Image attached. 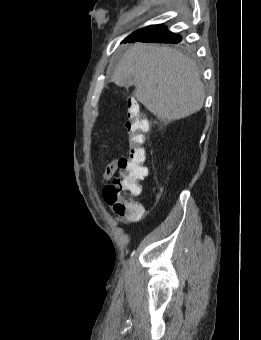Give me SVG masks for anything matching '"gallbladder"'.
<instances>
[{"label":"gallbladder","mask_w":261,"mask_h":340,"mask_svg":"<svg viewBox=\"0 0 261 340\" xmlns=\"http://www.w3.org/2000/svg\"><path fill=\"white\" fill-rule=\"evenodd\" d=\"M132 84H126V87H129V86H131Z\"/></svg>","instance_id":"gallbladder-1"}]
</instances>
